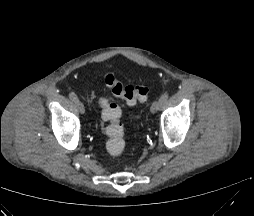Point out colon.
<instances>
[{
  "label": "colon",
  "instance_id": "colon-1",
  "mask_svg": "<svg viewBox=\"0 0 254 216\" xmlns=\"http://www.w3.org/2000/svg\"><path fill=\"white\" fill-rule=\"evenodd\" d=\"M104 84L112 93L127 104L134 105L138 101H145L149 96V88L145 85H126L119 81L113 72L104 75ZM102 118L107 123L105 133L108 137L106 151L111 156H118L125 150L124 127L120 122L121 110L115 103L106 98L100 99Z\"/></svg>",
  "mask_w": 254,
  "mask_h": 216
}]
</instances>
